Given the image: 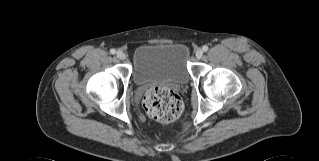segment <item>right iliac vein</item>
Returning a JSON list of instances; mask_svg holds the SVG:
<instances>
[{
  "instance_id": "right-iliac-vein-1",
  "label": "right iliac vein",
  "mask_w": 319,
  "mask_h": 161,
  "mask_svg": "<svg viewBox=\"0 0 319 161\" xmlns=\"http://www.w3.org/2000/svg\"><path fill=\"white\" fill-rule=\"evenodd\" d=\"M116 57H117L118 59H120V60H125V59H126V55H125V53L122 52V51H117Z\"/></svg>"
}]
</instances>
